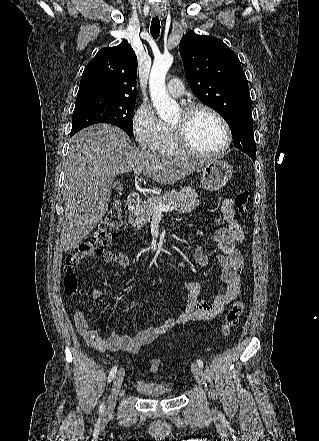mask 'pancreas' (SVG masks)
I'll use <instances>...</instances> for the list:
<instances>
[{"label": "pancreas", "instance_id": "1", "mask_svg": "<svg viewBox=\"0 0 319 441\" xmlns=\"http://www.w3.org/2000/svg\"><path fill=\"white\" fill-rule=\"evenodd\" d=\"M161 204L163 206L173 207L180 213H189L199 206L200 201L198 194L194 188L188 187L180 192L171 191L166 192L163 197H155L148 199L136 208L129 219V223L134 227H140L150 222L152 215L155 213V205Z\"/></svg>", "mask_w": 319, "mask_h": 441}]
</instances>
